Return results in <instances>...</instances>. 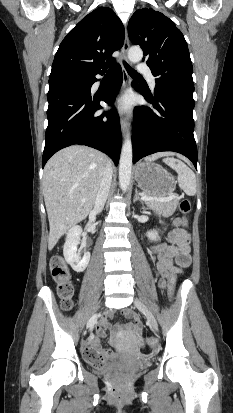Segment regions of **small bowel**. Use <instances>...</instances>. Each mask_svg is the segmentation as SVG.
Masks as SVG:
<instances>
[{
	"label": "small bowel",
	"instance_id": "small-bowel-1",
	"mask_svg": "<svg viewBox=\"0 0 233 413\" xmlns=\"http://www.w3.org/2000/svg\"><path fill=\"white\" fill-rule=\"evenodd\" d=\"M181 224L180 220H176L174 227L168 232V242L155 245L150 251V260L155 263L153 271L159 279V286L161 288H165L171 279L175 278L177 274H180L191 263L189 235L181 227ZM174 261H176L177 266L174 265ZM112 314V312H109L103 317L96 328V332L88 337L85 348L86 358L91 354L114 356L111 352L104 351L100 346V338L106 336L105 329L111 327L109 318ZM124 316L131 321L125 324L119 323L116 325V328L119 332L127 331L129 333V346L126 354L135 355L143 345L140 338L142 323L139 316L131 310L126 309Z\"/></svg>",
	"mask_w": 233,
	"mask_h": 413
}]
</instances>
